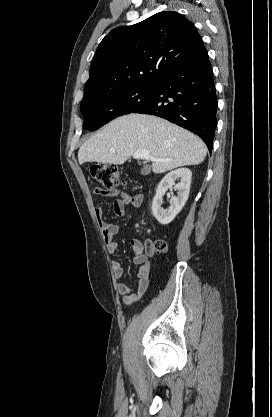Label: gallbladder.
<instances>
[{"instance_id":"gallbladder-1","label":"gallbladder","mask_w":272,"mask_h":417,"mask_svg":"<svg viewBox=\"0 0 272 417\" xmlns=\"http://www.w3.org/2000/svg\"><path fill=\"white\" fill-rule=\"evenodd\" d=\"M141 172H142V173H145V172H147V171H145V170H142Z\"/></svg>"}]
</instances>
